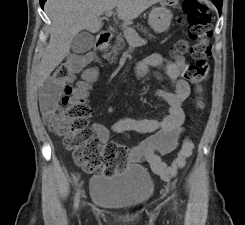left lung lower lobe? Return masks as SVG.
Listing matches in <instances>:
<instances>
[{
    "mask_svg": "<svg viewBox=\"0 0 245 225\" xmlns=\"http://www.w3.org/2000/svg\"><path fill=\"white\" fill-rule=\"evenodd\" d=\"M218 8H221V11H222V6H217ZM221 11H220V13H221Z\"/></svg>",
    "mask_w": 245,
    "mask_h": 225,
    "instance_id": "obj_1",
    "label": "left lung lower lobe"
}]
</instances>
